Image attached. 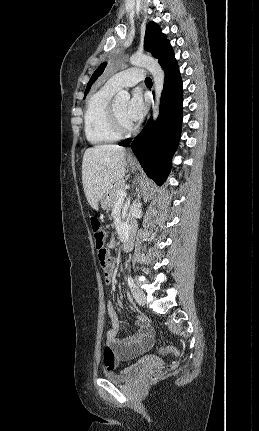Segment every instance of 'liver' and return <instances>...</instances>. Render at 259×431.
<instances>
[{
  "mask_svg": "<svg viewBox=\"0 0 259 431\" xmlns=\"http://www.w3.org/2000/svg\"><path fill=\"white\" fill-rule=\"evenodd\" d=\"M126 171V151L118 145L88 148L82 161V182L86 199L97 210L100 199Z\"/></svg>",
  "mask_w": 259,
  "mask_h": 431,
  "instance_id": "liver-1",
  "label": "liver"
}]
</instances>
